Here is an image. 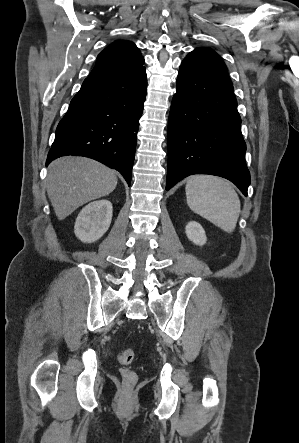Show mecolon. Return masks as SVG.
Returning <instances> with one entry per match:
<instances>
[{"label": "colon", "mask_w": 299, "mask_h": 443, "mask_svg": "<svg viewBox=\"0 0 299 443\" xmlns=\"http://www.w3.org/2000/svg\"><path fill=\"white\" fill-rule=\"evenodd\" d=\"M118 360L123 366H128L134 360V352L132 349H123L118 354ZM121 376L127 386H132L137 381L136 373L130 368L123 367L121 369Z\"/></svg>", "instance_id": "colon-1"}]
</instances>
